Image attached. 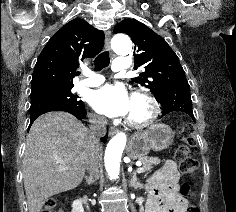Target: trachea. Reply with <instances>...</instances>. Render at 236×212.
Masks as SVG:
<instances>
[{"mask_svg":"<svg viewBox=\"0 0 236 212\" xmlns=\"http://www.w3.org/2000/svg\"><path fill=\"white\" fill-rule=\"evenodd\" d=\"M110 63L109 53L104 51L100 53L94 60L95 71H100L107 67Z\"/></svg>","mask_w":236,"mask_h":212,"instance_id":"1","label":"trachea"}]
</instances>
